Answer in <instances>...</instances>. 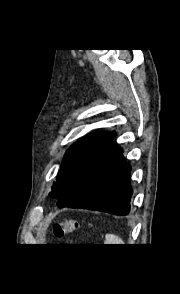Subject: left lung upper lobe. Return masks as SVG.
Returning <instances> with one entry per match:
<instances>
[{
  "label": "left lung upper lobe",
  "mask_w": 180,
  "mask_h": 294,
  "mask_svg": "<svg viewBox=\"0 0 180 294\" xmlns=\"http://www.w3.org/2000/svg\"><path fill=\"white\" fill-rule=\"evenodd\" d=\"M110 134V132H99L84 136L66 151L56 182L52 185V192L49 193L50 197L60 200L67 195L77 177Z\"/></svg>",
  "instance_id": "1"
}]
</instances>
